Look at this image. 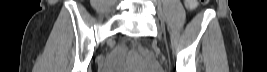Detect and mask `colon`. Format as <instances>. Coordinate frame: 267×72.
Returning <instances> with one entry per match:
<instances>
[{
	"label": "colon",
	"instance_id": "colon-1",
	"mask_svg": "<svg viewBox=\"0 0 267 72\" xmlns=\"http://www.w3.org/2000/svg\"><path fill=\"white\" fill-rule=\"evenodd\" d=\"M200 2L203 3V4H206V3H208V0H200Z\"/></svg>",
	"mask_w": 267,
	"mask_h": 72
}]
</instances>
